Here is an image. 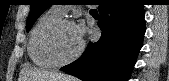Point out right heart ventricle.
<instances>
[{
	"mask_svg": "<svg viewBox=\"0 0 169 81\" xmlns=\"http://www.w3.org/2000/svg\"><path fill=\"white\" fill-rule=\"evenodd\" d=\"M61 18L62 16L51 9L38 19L31 30L28 42V55L30 60L38 67H55V64L45 52V38L50 28Z\"/></svg>",
	"mask_w": 169,
	"mask_h": 81,
	"instance_id": "1",
	"label": "right heart ventricle"
}]
</instances>
